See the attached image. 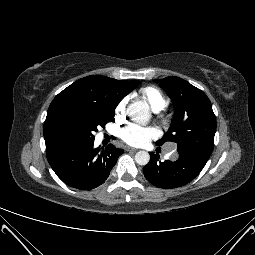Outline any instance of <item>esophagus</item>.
I'll return each mask as SVG.
<instances>
[{"instance_id": "1", "label": "esophagus", "mask_w": 255, "mask_h": 255, "mask_svg": "<svg viewBox=\"0 0 255 255\" xmlns=\"http://www.w3.org/2000/svg\"><path fill=\"white\" fill-rule=\"evenodd\" d=\"M124 149H125L126 151H131V152H136V151H137V149L132 148V147H129V146H126Z\"/></svg>"}]
</instances>
